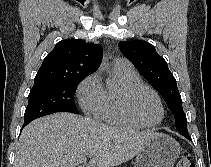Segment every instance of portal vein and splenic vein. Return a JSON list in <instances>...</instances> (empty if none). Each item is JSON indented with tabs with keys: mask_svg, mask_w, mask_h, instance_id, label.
<instances>
[{
	"mask_svg": "<svg viewBox=\"0 0 211 167\" xmlns=\"http://www.w3.org/2000/svg\"><path fill=\"white\" fill-rule=\"evenodd\" d=\"M93 155L92 154H87V157L91 158Z\"/></svg>",
	"mask_w": 211,
	"mask_h": 167,
	"instance_id": "1",
	"label": "portal vein and splenic vein"
}]
</instances>
